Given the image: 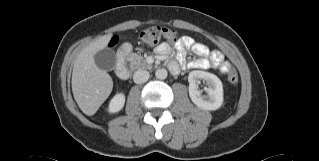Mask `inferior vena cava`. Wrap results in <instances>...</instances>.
I'll return each mask as SVG.
<instances>
[{"label":"inferior vena cava","instance_id":"obj_1","mask_svg":"<svg viewBox=\"0 0 319 161\" xmlns=\"http://www.w3.org/2000/svg\"><path fill=\"white\" fill-rule=\"evenodd\" d=\"M149 72L143 69L137 70L133 75V80L136 84H142L148 81L149 79Z\"/></svg>","mask_w":319,"mask_h":161}]
</instances>
